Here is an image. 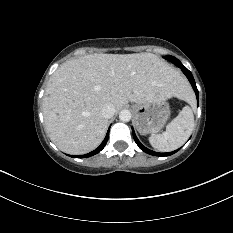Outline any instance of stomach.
<instances>
[{
  "instance_id": "1",
  "label": "stomach",
  "mask_w": 233,
  "mask_h": 233,
  "mask_svg": "<svg viewBox=\"0 0 233 233\" xmlns=\"http://www.w3.org/2000/svg\"><path fill=\"white\" fill-rule=\"evenodd\" d=\"M135 125L142 135L159 132L165 125L169 115V105L165 100H155L133 105Z\"/></svg>"
}]
</instances>
